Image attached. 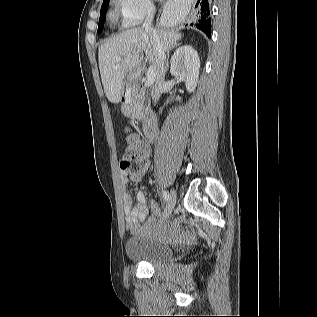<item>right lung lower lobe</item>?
I'll use <instances>...</instances> for the list:
<instances>
[{"instance_id": "98d812e1", "label": "right lung lower lobe", "mask_w": 317, "mask_h": 317, "mask_svg": "<svg viewBox=\"0 0 317 317\" xmlns=\"http://www.w3.org/2000/svg\"><path fill=\"white\" fill-rule=\"evenodd\" d=\"M195 10L192 12L193 21L190 24L211 36V18L209 0H194Z\"/></svg>"}]
</instances>
